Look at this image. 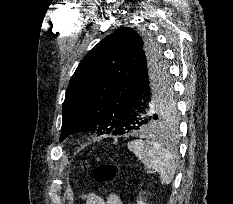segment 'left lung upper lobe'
<instances>
[{"label": "left lung upper lobe", "mask_w": 233, "mask_h": 204, "mask_svg": "<svg viewBox=\"0 0 233 204\" xmlns=\"http://www.w3.org/2000/svg\"><path fill=\"white\" fill-rule=\"evenodd\" d=\"M145 55L161 56L164 63L153 38L147 32L138 33L128 27L116 30L89 51L66 90L61 141L77 132L125 133L115 123L116 113L140 56ZM154 114L159 131L172 132L177 128L178 111L172 83L158 98Z\"/></svg>", "instance_id": "5c2ea615"}]
</instances>
